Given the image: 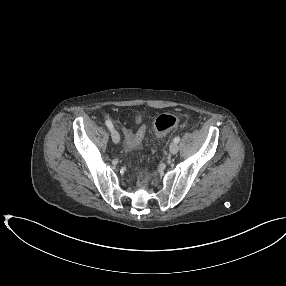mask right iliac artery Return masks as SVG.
Here are the masks:
<instances>
[{"label":"right iliac artery","mask_w":286,"mask_h":286,"mask_svg":"<svg viewBox=\"0 0 286 286\" xmlns=\"http://www.w3.org/2000/svg\"><path fill=\"white\" fill-rule=\"evenodd\" d=\"M105 123H106L107 127H108L110 130L113 129V124H112V121H111V120L108 119V120L105 121Z\"/></svg>","instance_id":"1"}]
</instances>
